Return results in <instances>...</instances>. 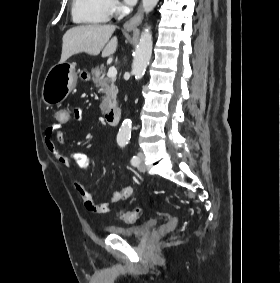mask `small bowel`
I'll return each instance as SVG.
<instances>
[{
  "instance_id": "obj_1",
  "label": "small bowel",
  "mask_w": 280,
  "mask_h": 283,
  "mask_svg": "<svg viewBox=\"0 0 280 283\" xmlns=\"http://www.w3.org/2000/svg\"><path fill=\"white\" fill-rule=\"evenodd\" d=\"M69 114H73V120L75 122H81L83 120V113L78 108L69 109ZM62 125H57V122L51 126L45 134V143L47 149L56 158L57 162L67 169H87L92 163V158L84 153L77 151L65 152L60 149V145L63 143L64 135L61 130ZM74 189L80 196L84 208L90 213L103 215L112 210L113 205L122 200H126L133 194V188L126 186L120 191L114 192L108 201L104 203H96L93 200L91 193L85 188V186L78 180L74 181Z\"/></svg>"
}]
</instances>
